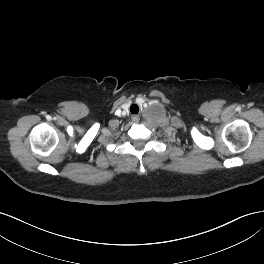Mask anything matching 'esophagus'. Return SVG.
I'll use <instances>...</instances> for the list:
<instances>
[{"instance_id": "obj_1", "label": "esophagus", "mask_w": 264, "mask_h": 264, "mask_svg": "<svg viewBox=\"0 0 264 264\" xmlns=\"http://www.w3.org/2000/svg\"><path fill=\"white\" fill-rule=\"evenodd\" d=\"M139 120H140V118H139L138 115H133V116H132V121H133L134 123H138Z\"/></svg>"}]
</instances>
